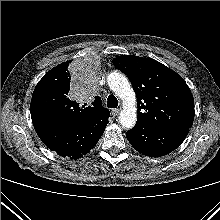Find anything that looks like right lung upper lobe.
Here are the masks:
<instances>
[{"label": "right lung upper lobe", "mask_w": 220, "mask_h": 220, "mask_svg": "<svg viewBox=\"0 0 220 220\" xmlns=\"http://www.w3.org/2000/svg\"><path fill=\"white\" fill-rule=\"evenodd\" d=\"M71 61L61 63L46 73L36 85L31 99V118L34 127L43 124L73 125L93 115L109 112L95 97L93 106L79 107L70 99L69 71Z\"/></svg>", "instance_id": "1"}]
</instances>
